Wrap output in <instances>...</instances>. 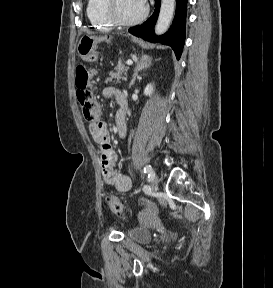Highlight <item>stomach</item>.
<instances>
[{"label": "stomach", "instance_id": "1", "mask_svg": "<svg viewBox=\"0 0 273 288\" xmlns=\"http://www.w3.org/2000/svg\"><path fill=\"white\" fill-rule=\"evenodd\" d=\"M98 38L95 36H82L77 45V51L79 57L84 60H89L94 54Z\"/></svg>", "mask_w": 273, "mask_h": 288}]
</instances>
